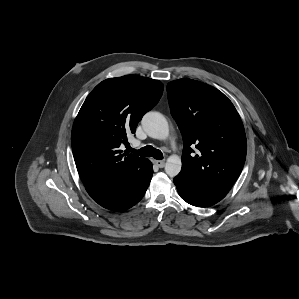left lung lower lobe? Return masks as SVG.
<instances>
[{"label": "left lung lower lobe", "mask_w": 299, "mask_h": 299, "mask_svg": "<svg viewBox=\"0 0 299 299\" xmlns=\"http://www.w3.org/2000/svg\"><path fill=\"white\" fill-rule=\"evenodd\" d=\"M178 193L187 203L197 207H208L222 200L227 192L191 180L181 174L174 178Z\"/></svg>", "instance_id": "left-lung-lower-lobe-1"}]
</instances>
